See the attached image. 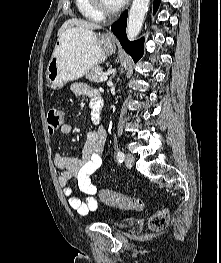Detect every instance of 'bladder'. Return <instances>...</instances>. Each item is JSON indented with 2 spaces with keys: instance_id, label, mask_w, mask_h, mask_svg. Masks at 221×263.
<instances>
[{
  "instance_id": "obj_1",
  "label": "bladder",
  "mask_w": 221,
  "mask_h": 263,
  "mask_svg": "<svg viewBox=\"0 0 221 263\" xmlns=\"http://www.w3.org/2000/svg\"><path fill=\"white\" fill-rule=\"evenodd\" d=\"M110 225L114 228H117V229H123L127 226L126 222L123 221V220H116V221H112L110 223Z\"/></svg>"
}]
</instances>
